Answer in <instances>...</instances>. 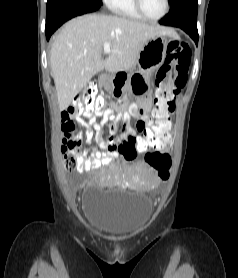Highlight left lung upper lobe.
I'll return each mask as SVG.
<instances>
[{
  "label": "left lung upper lobe",
  "instance_id": "5c2ea615",
  "mask_svg": "<svg viewBox=\"0 0 238 278\" xmlns=\"http://www.w3.org/2000/svg\"><path fill=\"white\" fill-rule=\"evenodd\" d=\"M174 1H176V0H170L171 4H172Z\"/></svg>",
  "mask_w": 238,
  "mask_h": 278
}]
</instances>
